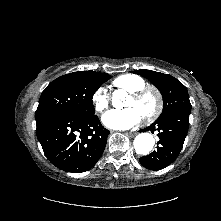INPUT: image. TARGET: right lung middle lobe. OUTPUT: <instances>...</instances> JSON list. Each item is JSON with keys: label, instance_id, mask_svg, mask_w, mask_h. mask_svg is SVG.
<instances>
[{"label": "right lung middle lobe", "instance_id": "right-lung-middle-lobe-1", "mask_svg": "<svg viewBox=\"0 0 221 221\" xmlns=\"http://www.w3.org/2000/svg\"><path fill=\"white\" fill-rule=\"evenodd\" d=\"M110 78L106 73L74 72L55 79L41 94L36 123L58 116H94L93 94Z\"/></svg>", "mask_w": 221, "mask_h": 221}]
</instances>
